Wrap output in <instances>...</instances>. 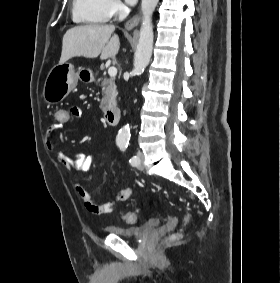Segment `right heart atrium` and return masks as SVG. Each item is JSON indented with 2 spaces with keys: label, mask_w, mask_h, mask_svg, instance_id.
<instances>
[{
  "label": "right heart atrium",
  "mask_w": 280,
  "mask_h": 283,
  "mask_svg": "<svg viewBox=\"0 0 280 283\" xmlns=\"http://www.w3.org/2000/svg\"><path fill=\"white\" fill-rule=\"evenodd\" d=\"M105 7L109 17L122 14L124 6L119 0H105Z\"/></svg>",
  "instance_id": "obj_1"
}]
</instances>
